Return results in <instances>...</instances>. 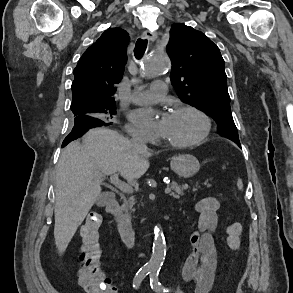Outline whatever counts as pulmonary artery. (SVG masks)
I'll return each mask as SVG.
<instances>
[{"label":"pulmonary artery","instance_id":"obj_1","mask_svg":"<svg viewBox=\"0 0 293 293\" xmlns=\"http://www.w3.org/2000/svg\"><path fill=\"white\" fill-rule=\"evenodd\" d=\"M166 89L167 86L164 81H156L151 84L148 90L135 91L131 100L136 104H152L165 97Z\"/></svg>","mask_w":293,"mask_h":293}]
</instances>
